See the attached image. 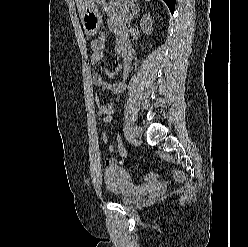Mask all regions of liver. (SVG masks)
<instances>
[{"label":"liver","mask_w":248,"mask_h":247,"mask_svg":"<svg viewBox=\"0 0 248 247\" xmlns=\"http://www.w3.org/2000/svg\"><path fill=\"white\" fill-rule=\"evenodd\" d=\"M91 0H75L76 6L78 9L79 16H81L84 7L90 2Z\"/></svg>","instance_id":"6515ba94"}]
</instances>
